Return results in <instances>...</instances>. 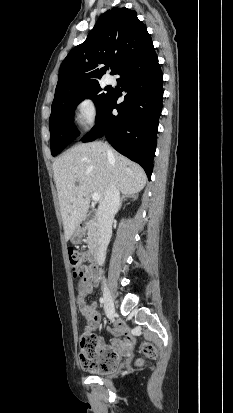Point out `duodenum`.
I'll use <instances>...</instances> for the list:
<instances>
[{
    "instance_id": "obj_1",
    "label": "duodenum",
    "mask_w": 233,
    "mask_h": 413,
    "mask_svg": "<svg viewBox=\"0 0 233 413\" xmlns=\"http://www.w3.org/2000/svg\"><path fill=\"white\" fill-rule=\"evenodd\" d=\"M79 228H80V230H84L86 228V222H81L79 224ZM90 254H91V257H92L93 260H95V261L98 260L99 251H98L97 247H93Z\"/></svg>"
}]
</instances>
